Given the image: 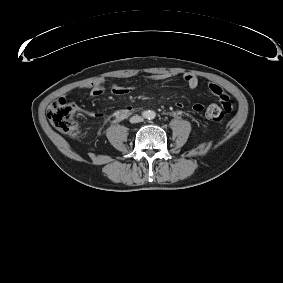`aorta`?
<instances>
[{"label":"aorta","mask_w":283,"mask_h":283,"mask_svg":"<svg viewBox=\"0 0 283 283\" xmlns=\"http://www.w3.org/2000/svg\"><path fill=\"white\" fill-rule=\"evenodd\" d=\"M156 116L155 112L154 111H147L146 113V118L148 119H154Z\"/></svg>","instance_id":"1"}]
</instances>
